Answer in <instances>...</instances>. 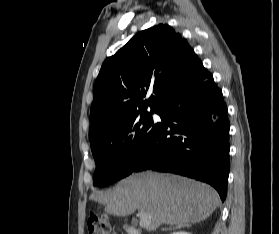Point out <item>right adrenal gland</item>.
I'll return each instance as SVG.
<instances>
[{
  "label": "right adrenal gland",
  "mask_w": 279,
  "mask_h": 234,
  "mask_svg": "<svg viewBox=\"0 0 279 234\" xmlns=\"http://www.w3.org/2000/svg\"><path fill=\"white\" fill-rule=\"evenodd\" d=\"M179 227V226H178ZM174 228V227H173ZM172 228L170 227V228H163L162 230H171Z\"/></svg>",
  "instance_id": "right-adrenal-gland-1"
}]
</instances>
